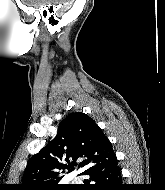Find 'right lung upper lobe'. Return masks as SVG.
Instances as JSON below:
<instances>
[{
  "label": "right lung upper lobe",
  "instance_id": "cb5924a9",
  "mask_svg": "<svg viewBox=\"0 0 165 190\" xmlns=\"http://www.w3.org/2000/svg\"><path fill=\"white\" fill-rule=\"evenodd\" d=\"M113 154L110 141L95 121L84 113H72L61 121L56 137L30 158L18 188L55 190L69 187L71 185L58 184L62 178L60 170L72 171L75 161L82 159L79 168L86 171Z\"/></svg>",
  "mask_w": 165,
  "mask_h": 190
}]
</instances>
